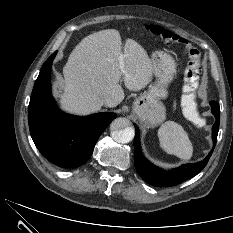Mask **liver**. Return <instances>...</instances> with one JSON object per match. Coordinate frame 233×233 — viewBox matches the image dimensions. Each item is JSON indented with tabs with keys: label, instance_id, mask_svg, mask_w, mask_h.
<instances>
[{
	"label": "liver",
	"instance_id": "obj_1",
	"mask_svg": "<svg viewBox=\"0 0 233 233\" xmlns=\"http://www.w3.org/2000/svg\"><path fill=\"white\" fill-rule=\"evenodd\" d=\"M124 55V72L118 57ZM153 74L152 61L135 40L127 39L122 51L120 33L115 29L88 35L74 48L63 68L60 103L68 112L87 115L102 107L109 96L117 106L124 99L121 78L131 91L143 89Z\"/></svg>",
	"mask_w": 233,
	"mask_h": 233
}]
</instances>
